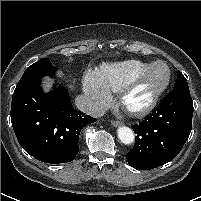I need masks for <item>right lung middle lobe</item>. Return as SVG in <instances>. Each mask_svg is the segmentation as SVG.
Wrapping results in <instances>:
<instances>
[{"mask_svg":"<svg viewBox=\"0 0 201 201\" xmlns=\"http://www.w3.org/2000/svg\"><path fill=\"white\" fill-rule=\"evenodd\" d=\"M39 65H46V66H51L52 64L50 63L48 58H43L34 64L31 65V67L39 66Z\"/></svg>","mask_w":201,"mask_h":201,"instance_id":"1","label":"right lung middle lobe"}]
</instances>
